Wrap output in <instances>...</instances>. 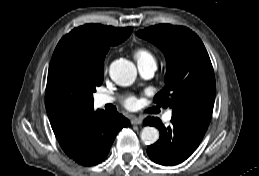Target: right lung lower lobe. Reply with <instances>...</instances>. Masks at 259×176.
I'll return each mask as SVG.
<instances>
[{"instance_id": "obj_1", "label": "right lung lower lobe", "mask_w": 259, "mask_h": 176, "mask_svg": "<svg viewBox=\"0 0 259 176\" xmlns=\"http://www.w3.org/2000/svg\"><path fill=\"white\" fill-rule=\"evenodd\" d=\"M129 124L130 121L119 113L97 110L57 140L71 159L91 166L107 156L119 130Z\"/></svg>"}]
</instances>
